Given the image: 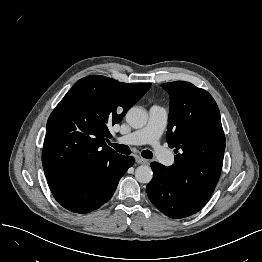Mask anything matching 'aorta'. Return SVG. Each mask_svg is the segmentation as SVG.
<instances>
[{"mask_svg":"<svg viewBox=\"0 0 262 262\" xmlns=\"http://www.w3.org/2000/svg\"><path fill=\"white\" fill-rule=\"evenodd\" d=\"M126 121L132 128L139 129L146 125L148 116L145 110L132 107L126 114ZM152 177V169L147 165H141L135 170V178L139 183L147 184L152 180Z\"/></svg>","mask_w":262,"mask_h":262,"instance_id":"1","label":"aorta"}]
</instances>
